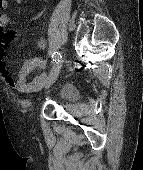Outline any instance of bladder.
I'll use <instances>...</instances> for the list:
<instances>
[{
  "mask_svg": "<svg viewBox=\"0 0 143 170\" xmlns=\"http://www.w3.org/2000/svg\"><path fill=\"white\" fill-rule=\"evenodd\" d=\"M56 96L61 101H70L76 97V92L72 85L64 83L58 86Z\"/></svg>",
  "mask_w": 143,
  "mask_h": 170,
  "instance_id": "obj_1",
  "label": "bladder"
}]
</instances>
